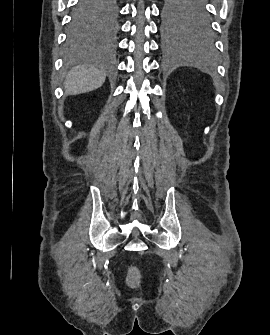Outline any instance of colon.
<instances>
[{
  "instance_id": "obj_1",
  "label": "colon",
  "mask_w": 270,
  "mask_h": 335,
  "mask_svg": "<svg viewBox=\"0 0 270 335\" xmlns=\"http://www.w3.org/2000/svg\"><path fill=\"white\" fill-rule=\"evenodd\" d=\"M127 284L130 288L136 289L140 285V274L136 268H132L127 275Z\"/></svg>"
}]
</instances>
